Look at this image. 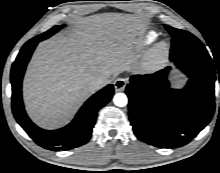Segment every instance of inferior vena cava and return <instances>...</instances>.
<instances>
[{
	"mask_svg": "<svg viewBox=\"0 0 220 173\" xmlns=\"http://www.w3.org/2000/svg\"><path fill=\"white\" fill-rule=\"evenodd\" d=\"M110 82H111V79H109V78L99 77V78L94 79L91 82V87L94 90H98V89H101L102 87L106 86Z\"/></svg>",
	"mask_w": 220,
	"mask_h": 173,
	"instance_id": "602c4592",
	"label": "inferior vena cava"
}]
</instances>
